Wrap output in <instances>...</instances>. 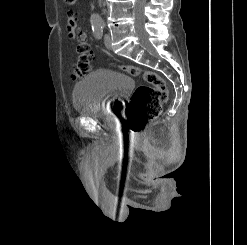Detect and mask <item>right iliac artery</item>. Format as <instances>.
<instances>
[{
  "label": "right iliac artery",
  "mask_w": 247,
  "mask_h": 245,
  "mask_svg": "<svg viewBox=\"0 0 247 245\" xmlns=\"http://www.w3.org/2000/svg\"><path fill=\"white\" fill-rule=\"evenodd\" d=\"M96 39H101L103 35V26H95L92 28Z\"/></svg>",
  "instance_id": "right-iliac-artery-1"
}]
</instances>
